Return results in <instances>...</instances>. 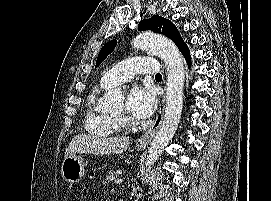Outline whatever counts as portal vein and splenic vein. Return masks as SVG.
<instances>
[{
  "mask_svg": "<svg viewBox=\"0 0 271 201\" xmlns=\"http://www.w3.org/2000/svg\"><path fill=\"white\" fill-rule=\"evenodd\" d=\"M122 182H123L122 179H116V180H115V183H116V184H120V183H122Z\"/></svg>",
  "mask_w": 271,
  "mask_h": 201,
  "instance_id": "1",
  "label": "portal vein and splenic vein"
}]
</instances>
